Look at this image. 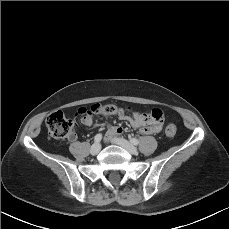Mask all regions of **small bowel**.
Returning a JSON list of instances; mask_svg holds the SVG:
<instances>
[{
    "instance_id": "small-bowel-1",
    "label": "small bowel",
    "mask_w": 229,
    "mask_h": 229,
    "mask_svg": "<svg viewBox=\"0 0 229 229\" xmlns=\"http://www.w3.org/2000/svg\"><path fill=\"white\" fill-rule=\"evenodd\" d=\"M146 115H147L146 113L136 111L132 113L131 115L119 113L118 117L121 120L128 122L130 125H132L135 128H141V132L143 134H151L155 131L145 126L148 123L146 121ZM81 122L86 126H92L93 118L92 116L87 115L81 119ZM122 132H123V129L120 126L108 125L106 136L109 140H111L112 138L116 136H120ZM71 138L74 139L75 135H71Z\"/></svg>"
}]
</instances>
